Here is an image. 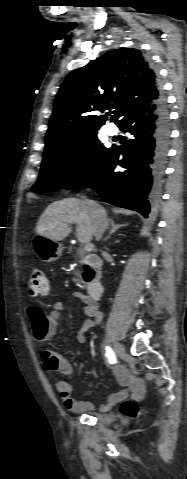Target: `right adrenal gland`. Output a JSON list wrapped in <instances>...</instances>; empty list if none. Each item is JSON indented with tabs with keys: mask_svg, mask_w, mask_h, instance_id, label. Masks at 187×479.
Segmentation results:
<instances>
[{
	"mask_svg": "<svg viewBox=\"0 0 187 479\" xmlns=\"http://www.w3.org/2000/svg\"><path fill=\"white\" fill-rule=\"evenodd\" d=\"M109 223H110L111 229L108 236L104 238V241H107L111 237V235L114 234L119 228L128 225V224H115V222L112 219L109 220Z\"/></svg>",
	"mask_w": 187,
	"mask_h": 479,
	"instance_id": "2a0ac1e0",
	"label": "right adrenal gland"
}]
</instances>
